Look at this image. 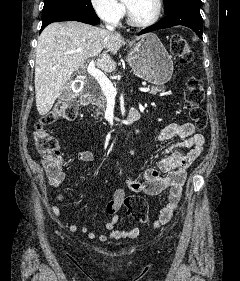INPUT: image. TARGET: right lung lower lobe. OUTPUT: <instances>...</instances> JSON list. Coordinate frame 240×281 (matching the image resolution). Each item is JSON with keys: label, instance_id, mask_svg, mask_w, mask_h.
Instances as JSON below:
<instances>
[{"label": "right lung lower lobe", "instance_id": "98d812e1", "mask_svg": "<svg viewBox=\"0 0 240 281\" xmlns=\"http://www.w3.org/2000/svg\"><path fill=\"white\" fill-rule=\"evenodd\" d=\"M79 21L91 25H97L99 23V18L97 16L95 17H89V16H76V15H71V14H62V15H57L55 17H52L44 22H42V27L41 31L50 23L52 22H59V21Z\"/></svg>", "mask_w": 240, "mask_h": 281}]
</instances>
